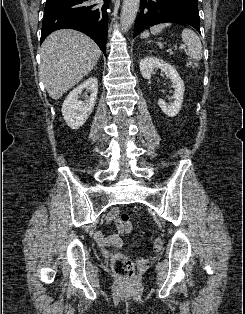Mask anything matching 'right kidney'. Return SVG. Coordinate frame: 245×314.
I'll return each instance as SVG.
<instances>
[{
	"instance_id": "ca27d5eb",
	"label": "right kidney",
	"mask_w": 245,
	"mask_h": 314,
	"mask_svg": "<svg viewBox=\"0 0 245 314\" xmlns=\"http://www.w3.org/2000/svg\"><path fill=\"white\" fill-rule=\"evenodd\" d=\"M83 90L90 92V97L85 102L79 100ZM98 93V80L90 77L73 89L62 105V115L66 124L71 129H78L84 125L93 111Z\"/></svg>"
}]
</instances>
